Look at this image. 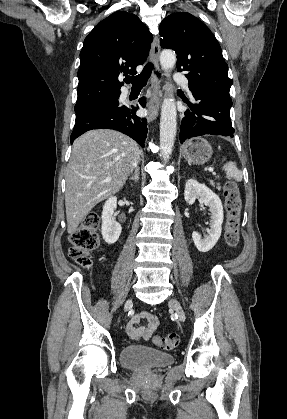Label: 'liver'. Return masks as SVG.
<instances>
[{
  "label": "liver",
  "mask_w": 287,
  "mask_h": 419,
  "mask_svg": "<svg viewBox=\"0 0 287 419\" xmlns=\"http://www.w3.org/2000/svg\"><path fill=\"white\" fill-rule=\"evenodd\" d=\"M139 153L133 139L114 130H91L75 140L66 172L69 234L76 231L95 205L123 187Z\"/></svg>",
  "instance_id": "1"
}]
</instances>
